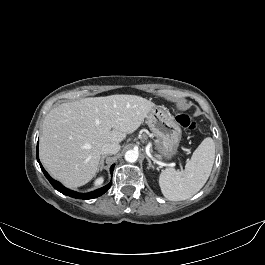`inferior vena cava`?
Segmentation results:
<instances>
[{"mask_svg": "<svg viewBox=\"0 0 265 265\" xmlns=\"http://www.w3.org/2000/svg\"><path fill=\"white\" fill-rule=\"evenodd\" d=\"M120 149V145L116 143H106L102 146V154H116Z\"/></svg>", "mask_w": 265, "mask_h": 265, "instance_id": "602c4592", "label": "inferior vena cava"}]
</instances>
